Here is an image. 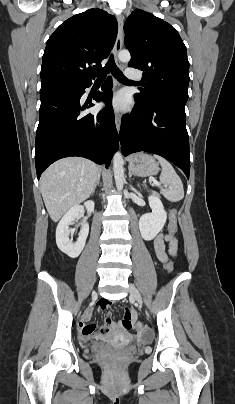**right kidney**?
<instances>
[{"label": "right kidney", "mask_w": 235, "mask_h": 404, "mask_svg": "<svg viewBox=\"0 0 235 404\" xmlns=\"http://www.w3.org/2000/svg\"><path fill=\"white\" fill-rule=\"evenodd\" d=\"M87 208V212L90 213L94 209V202L87 201L84 203ZM83 207L75 205L63 216L56 229V243L58 248L71 258H76L82 252L85 242L89 233L88 223H84L81 226V231L76 242L70 240L69 235L72 233V229L69 226L73 224V221L77 219L82 211Z\"/></svg>", "instance_id": "ca27d5eb"}]
</instances>
